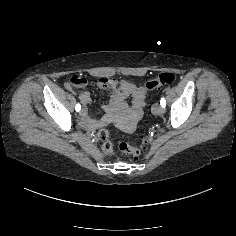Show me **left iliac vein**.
I'll use <instances>...</instances> for the list:
<instances>
[{
    "label": "left iliac vein",
    "instance_id": "left-iliac-vein-1",
    "mask_svg": "<svg viewBox=\"0 0 236 236\" xmlns=\"http://www.w3.org/2000/svg\"><path fill=\"white\" fill-rule=\"evenodd\" d=\"M152 111L156 115H161L164 113V108L161 105H153Z\"/></svg>",
    "mask_w": 236,
    "mask_h": 236
}]
</instances>
